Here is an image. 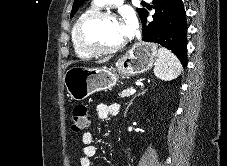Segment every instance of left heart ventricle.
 Listing matches in <instances>:
<instances>
[{
  "label": "left heart ventricle",
  "instance_id": "1",
  "mask_svg": "<svg viewBox=\"0 0 227 166\" xmlns=\"http://www.w3.org/2000/svg\"><path fill=\"white\" fill-rule=\"evenodd\" d=\"M84 37L91 44L111 48L123 42L126 33L121 20L100 19L85 27Z\"/></svg>",
  "mask_w": 227,
  "mask_h": 166
}]
</instances>
